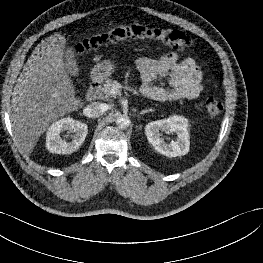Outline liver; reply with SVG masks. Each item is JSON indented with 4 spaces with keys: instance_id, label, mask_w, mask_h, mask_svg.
I'll return each mask as SVG.
<instances>
[{
    "instance_id": "obj_1",
    "label": "liver",
    "mask_w": 263,
    "mask_h": 263,
    "mask_svg": "<svg viewBox=\"0 0 263 263\" xmlns=\"http://www.w3.org/2000/svg\"><path fill=\"white\" fill-rule=\"evenodd\" d=\"M66 39L54 34L28 58L13 92L15 139L29 154L49 125L82 106L63 61Z\"/></svg>"
}]
</instances>
